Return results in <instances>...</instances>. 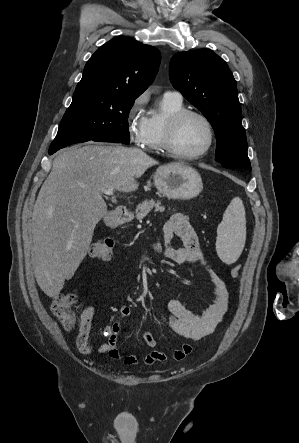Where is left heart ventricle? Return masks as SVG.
I'll return each instance as SVG.
<instances>
[{
  "instance_id": "1",
  "label": "left heart ventricle",
  "mask_w": 299,
  "mask_h": 443,
  "mask_svg": "<svg viewBox=\"0 0 299 443\" xmlns=\"http://www.w3.org/2000/svg\"><path fill=\"white\" fill-rule=\"evenodd\" d=\"M208 142V130L205 123L195 116L185 118L177 131L175 145L186 154L200 152Z\"/></svg>"
}]
</instances>
